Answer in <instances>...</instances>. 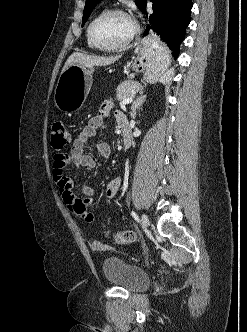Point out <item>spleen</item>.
I'll return each instance as SVG.
<instances>
[{"label":"spleen","mask_w":247,"mask_h":332,"mask_svg":"<svg viewBox=\"0 0 247 332\" xmlns=\"http://www.w3.org/2000/svg\"><path fill=\"white\" fill-rule=\"evenodd\" d=\"M161 82H162V83H167V82H168V78H166V77H162V78H161Z\"/></svg>","instance_id":"obj_1"}]
</instances>
